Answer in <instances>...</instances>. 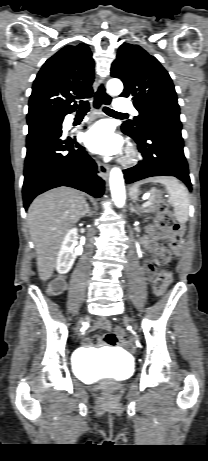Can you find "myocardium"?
Masks as SVG:
<instances>
[{
  "mask_svg": "<svg viewBox=\"0 0 208 461\" xmlns=\"http://www.w3.org/2000/svg\"><path fill=\"white\" fill-rule=\"evenodd\" d=\"M134 160V153L132 150H129L127 152V155L125 156V158L123 159V162L124 163H131L132 161Z\"/></svg>",
  "mask_w": 208,
  "mask_h": 461,
  "instance_id": "myocardium-1",
  "label": "myocardium"
}]
</instances>
